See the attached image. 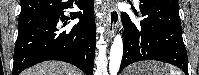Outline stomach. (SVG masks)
<instances>
[{"mask_svg":"<svg viewBox=\"0 0 199 75\" xmlns=\"http://www.w3.org/2000/svg\"><path fill=\"white\" fill-rule=\"evenodd\" d=\"M164 66L157 62H140L130 66L124 75H163Z\"/></svg>","mask_w":199,"mask_h":75,"instance_id":"stomach-1","label":"stomach"}]
</instances>
